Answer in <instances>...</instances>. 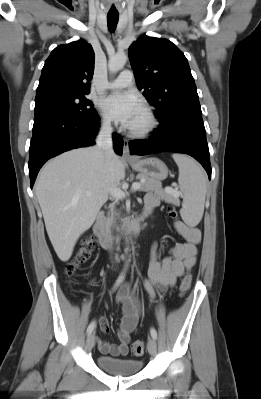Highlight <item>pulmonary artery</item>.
<instances>
[{
  "label": "pulmonary artery",
  "mask_w": 261,
  "mask_h": 399,
  "mask_svg": "<svg viewBox=\"0 0 261 399\" xmlns=\"http://www.w3.org/2000/svg\"><path fill=\"white\" fill-rule=\"evenodd\" d=\"M133 83V73L130 70H123L118 77L109 82L107 87L109 89H121L132 85Z\"/></svg>",
  "instance_id": "e3ab8cb5"
}]
</instances>
